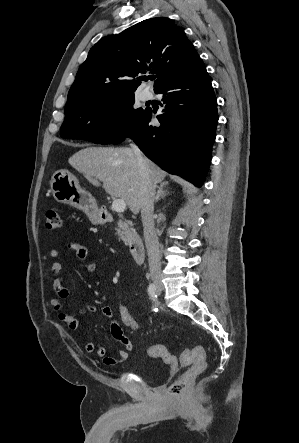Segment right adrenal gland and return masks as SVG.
<instances>
[{"label": "right adrenal gland", "instance_id": "right-adrenal-gland-1", "mask_svg": "<svg viewBox=\"0 0 299 443\" xmlns=\"http://www.w3.org/2000/svg\"><path fill=\"white\" fill-rule=\"evenodd\" d=\"M168 185V182H162L160 186L158 187V191L155 196V201L158 202L161 198L166 197L169 192L167 190H164V188Z\"/></svg>", "mask_w": 299, "mask_h": 443}]
</instances>
